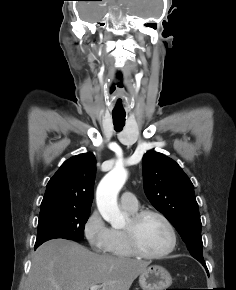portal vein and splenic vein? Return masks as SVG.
<instances>
[{
	"label": "portal vein and splenic vein",
	"instance_id": "portal-vein-and-splenic-vein-1",
	"mask_svg": "<svg viewBox=\"0 0 236 290\" xmlns=\"http://www.w3.org/2000/svg\"><path fill=\"white\" fill-rule=\"evenodd\" d=\"M102 285H93L90 287V290H99Z\"/></svg>",
	"mask_w": 236,
	"mask_h": 290
}]
</instances>
